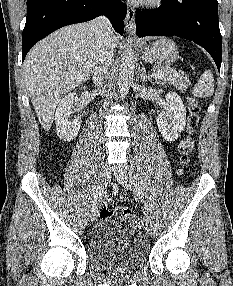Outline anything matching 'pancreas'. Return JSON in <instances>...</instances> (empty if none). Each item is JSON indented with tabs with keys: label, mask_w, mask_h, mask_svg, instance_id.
<instances>
[{
	"label": "pancreas",
	"mask_w": 233,
	"mask_h": 286,
	"mask_svg": "<svg viewBox=\"0 0 233 286\" xmlns=\"http://www.w3.org/2000/svg\"><path fill=\"white\" fill-rule=\"evenodd\" d=\"M157 71L162 72V77H156V81L174 85L179 91L184 92L190 85L189 79L170 67H156Z\"/></svg>",
	"instance_id": "obj_1"
}]
</instances>
